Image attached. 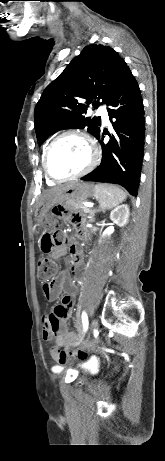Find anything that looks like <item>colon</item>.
Wrapping results in <instances>:
<instances>
[{"label":"colon","instance_id":"colon-1","mask_svg":"<svg viewBox=\"0 0 165 461\" xmlns=\"http://www.w3.org/2000/svg\"><path fill=\"white\" fill-rule=\"evenodd\" d=\"M58 222V217H49L47 224L53 227ZM64 235L56 229H48L41 237L40 247L43 253H49L54 248L60 246L64 242ZM56 274L55 264L46 257H41L38 260V277L42 281H47ZM59 314V312H56ZM75 345L73 340H55V347L58 352L63 354L68 348ZM75 357L79 360H87L90 350L88 348H78L75 352Z\"/></svg>","mask_w":165,"mask_h":461}]
</instances>
